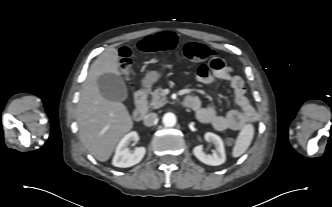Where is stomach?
<instances>
[{
  "label": "stomach",
  "instance_id": "obj_1",
  "mask_svg": "<svg viewBox=\"0 0 332 207\" xmlns=\"http://www.w3.org/2000/svg\"><path fill=\"white\" fill-rule=\"evenodd\" d=\"M168 65H163L162 68H167ZM162 77V73L160 71H149L145 77L143 78L142 84L144 87L149 88L154 83H156Z\"/></svg>",
  "mask_w": 332,
  "mask_h": 207
}]
</instances>
